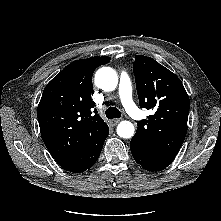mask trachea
Instances as JSON below:
<instances>
[{
  "label": "trachea",
  "instance_id": "obj_1",
  "mask_svg": "<svg viewBox=\"0 0 221 221\" xmlns=\"http://www.w3.org/2000/svg\"><path fill=\"white\" fill-rule=\"evenodd\" d=\"M105 114L108 119L121 117V112L116 107H109L106 109Z\"/></svg>",
  "mask_w": 221,
  "mask_h": 221
}]
</instances>
